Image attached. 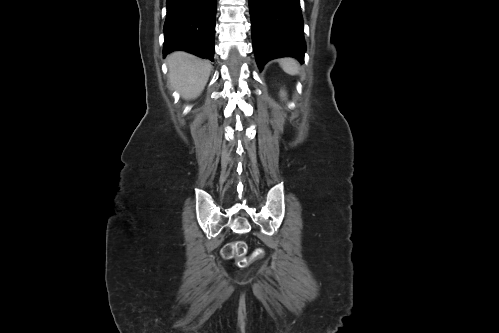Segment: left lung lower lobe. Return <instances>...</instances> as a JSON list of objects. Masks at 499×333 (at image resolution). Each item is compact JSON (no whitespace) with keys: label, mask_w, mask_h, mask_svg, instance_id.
I'll use <instances>...</instances> for the list:
<instances>
[{"label":"left lung lower lobe","mask_w":499,"mask_h":333,"mask_svg":"<svg viewBox=\"0 0 499 333\" xmlns=\"http://www.w3.org/2000/svg\"><path fill=\"white\" fill-rule=\"evenodd\" d=\"M252 41L260 69L268 61L295 57L306 50L299 0H249Z\"/></svg>","instance_id":"left-lung-lower-lobe-1"}]
</instances>
